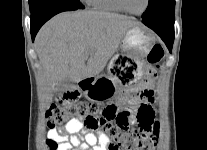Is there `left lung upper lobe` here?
Segmentation results:
<instances>
[{
	"label": "left lung upper lobe",
	"instance_id": "1",
	"mask_svg": "<svg viewBox=\"0 0 207 150\" xmlns=\"http://www.w3.org/2000/svg\"><path fill=\"white\" fill-rule=\"evenodd\" d=\"M175 8V0H149L148 8L142 18H154L163 15Z\"/></svg>",
	"mask_w": 207,
	"mask_h": 150
}]
</instances>
